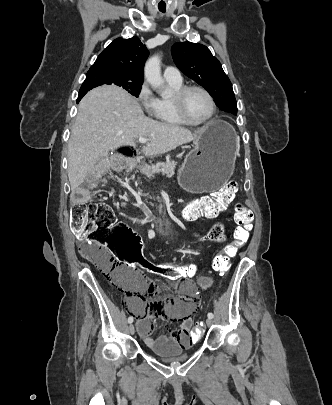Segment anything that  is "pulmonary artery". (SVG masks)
<instances>
[{
	"label": "pulmonary artery",
	"instance_id": "obj_1",
	"mask_svg": "<svg viewBox=\"0 0 332 405\" xmlns=\"http://www.w3.org/2000/svg\"><path fill=\"white\" fill-rule=\"evenodd\" d=\"M163 76L166 79V81L182 82V75L180 71L175 67L169 66L165 68Z\"/></svg>",
	"mask_w": 332,
	"mask_h": 405
}]
</instances>
